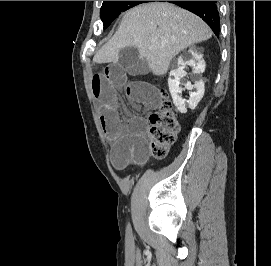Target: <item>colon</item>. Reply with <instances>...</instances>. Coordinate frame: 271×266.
I'll use <instances>...</instances> for the list:
<instances>
[{
    "label": "colon",
    "instance_id": "obj_1",
    "mask_svg": "<svg viewBox=\"0 0 271 266\" xmlns=\"http://www.w3.org/2000/svg\"><path fill=\"white\" fill-rule=\"evenodd\" d=\"M162 94L163 100L158 110L153 112L149 118V149L156 158H163L167 155L179 132V123L172 105L165 92Z\"/></svg>",
    "mask_w": 271,
    "mask_h": 266
}]
</instances>
